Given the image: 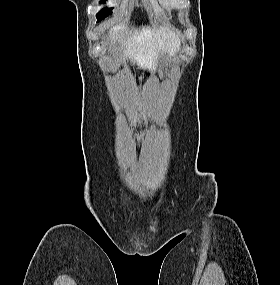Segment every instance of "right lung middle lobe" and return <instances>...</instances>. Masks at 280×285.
Listing matches in <instances>:
<instances>
[{"label":"right lung middle lobe","mask_w":280,"mask_h":285,"mask_svg":"<svg viewBox=\"0 0 280 285\" xmlns=\"http://www.w3.org/2000/svg\"><path fill=\"white\" fill-rule=\"evenodd\" d=\"M103 3L106 2V0H102ZM112 14L111 9L110 8H104L102 9L97 15V20L98 22L101 21L102 19H104L105 17H107L108 15Z\"/></svg>","instance_id":"obj_1"}]
</instances>
